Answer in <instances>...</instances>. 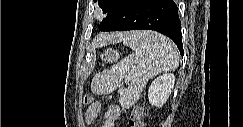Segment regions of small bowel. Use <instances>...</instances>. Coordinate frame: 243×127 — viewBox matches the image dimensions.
<instances>
[{
  "label": "small bowel",
  "mask_w": 243,
  "mask_h": 127,
  "mask_svg": "<svg viewBox=\"0 0 243 127\" xmlns=\"http://www.w3.org/2000/svg\"><path fill=\"white\" fill-rule=\"evenodd\" d=\"M102 110V104L100 102H93L90 104L86 111L85 119L87 124L91 125L98 117ZM121 115V108L118 105H110L105 112L104 127H115L117 121Z\"/></svg>",
  "instance_id": "small-bowel-1"
}]
</instances>
